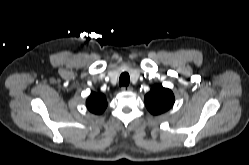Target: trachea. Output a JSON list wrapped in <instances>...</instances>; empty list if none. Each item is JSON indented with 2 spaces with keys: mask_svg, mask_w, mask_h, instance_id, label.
Here are the masks:
<instances>
[{
  "mask_svg": "<svg viewBox=\"0 0 249 165\" xmlns=\"http://www.w3.org/2000/svg\"><path fill=\"white\" fill-rule=\"evenodd\" d=\"M129 82H130L129 74L127 72H123L119 78V85L120 86H128Z\"/></svg>",
  "mask_w": 249,
  "mask_h": 165,
  "instance_id": "1",
  "label": "trachea"
}]
</instances>
